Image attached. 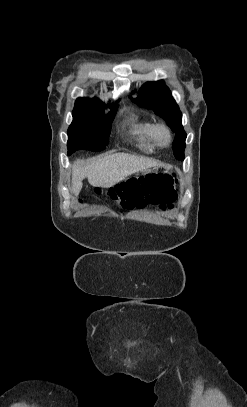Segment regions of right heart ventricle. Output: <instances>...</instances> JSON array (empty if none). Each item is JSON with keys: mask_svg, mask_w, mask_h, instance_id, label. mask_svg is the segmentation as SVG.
Segmentation results:
<instances>
[{"mask_svg": "<svg viewBox=\"0 0 247 407\" xmlns=\"http://www.w3.org/2000/svg\"><path fill=\"white\" fill-rule=\"evenodd\" d=\"M154 128L155 124L152 121L134 116L128 124V133L142 151L151 153L157 147Z\"/></svg>", "mask_w": 247, "mask_h": 407, "instance_id": "right-heart-ventricle-1", "label": "right heart ventricle"}]
</instances>
